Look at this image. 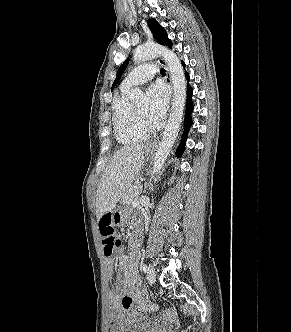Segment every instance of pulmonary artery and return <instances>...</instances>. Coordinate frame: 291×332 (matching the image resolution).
Returning a JSON list of instances; mask_svg holds the SVG:
<instances>
[{
	"instance_id": "pulmonary-artery-1",
	"label": "pulmonary artery",
	"mask_w": 291,
	"mask_h": 332,
	"mask_svg": "<svg viewBox=\"0 0 291 332\" xmlns=\"http://www.w3.org/2000/svg\"><path fill=\"white\" fill-rule=\"evenodd\" d=\"M159 71L158 65L144 63L134 68L124 79L122 88L130 89L133 86L143 84L151 80Z\"/></svg>"
}]
</instances>
